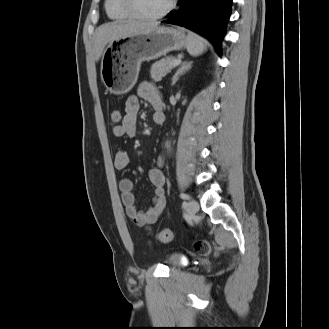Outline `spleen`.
<instances>
[{
  "mask_svg": "<svg viewBox=\"0 0 329 329\" xmlns=\"http://www.w3.org/2000/svg\"><path fill=\"white\" fill-rule=\"evenodd\" d=\"M186 48L190 55L198 56L206 50V44L200 36L190 33L187 35Z\"/></svg>",
  "mask_w": 329,
  "mask_h": 329,
  "instance_id": "spleen-1",
  "label": "spleen"
}]
</instances>
